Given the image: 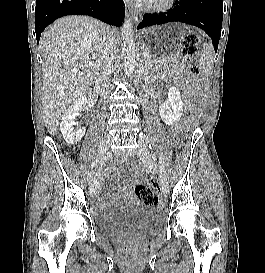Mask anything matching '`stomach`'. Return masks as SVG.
<instances>
[{
	"label": "stomach",
	"mask_w": 265,
	"mask_h": 273,
	"mask_svg": "<svg viewBox=\"0 0 265 273\" xmlns=\"http://www.w3.org/2000/svg\"><path fill=\"white\" fill-rule=\"evenodd\" d=\"M187 30H193V25H156L142 33L137 49H144V60H149V64H166V60L178 56L176 50Z\"/></svg>",
	"instance_id": "stomach-1"
}]
</instances>
